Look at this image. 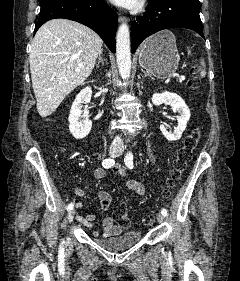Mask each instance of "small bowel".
<instances>
[{
    "mask_svg": "<svg viewBox=\"0 0 240 281\" xmlns=\"http://www.w3.org/2000/svg\"><path fill=\"white\" fill-rule=\"evenodd\" d=\"M113 172L121 176L122 178L125 179V186L127 189L133 191L137 196L143 197L146 194V188L145 186L134 179L129 178L127 172L121 167L120 165H115L112 168ZM94 177L97 180H101L105 177L106 171L105 169L99 167L94 170ZM74 193L82 197L86 194L85 190L80 187H76L74 189ZM98 199L100 201V205L102 210L107 211L111 205L112 198L111 196L103 189H99L97 192ZM76 207L81 209L82 204L79 201H76ZM77 220L84 223L87 226H91V222L95 220V215L93 214H88L85 216H77ZM122 232V228L119 225L114 224V221L112 217L107 216L103 219L102 221V232L99 233L98 231H94L95 236H103V237H108V236H115L119 235Z\"/></svg>",
    "mask_w": 240,
    "mask_h": 281,
    "instance_id": "small-bowel-1",
    "label": "small bowel"
}]
</instances>
